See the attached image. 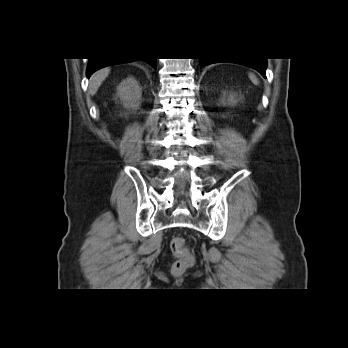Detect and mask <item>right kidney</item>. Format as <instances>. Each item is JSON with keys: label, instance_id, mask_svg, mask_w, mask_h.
<instances>
[{"label": "right kidney", "instance_id": "1", "mask_svg": "<svg viewBox=\"0 0 348 348\" xmlns=\"http://www.w3.org/2000/svg\"><path fill=\"white\" fill-rule=\"evenodd\" d=\"M142 88L132 76L124 79L117 87V96L127 109H138L141 104Z\"/></svg>", "mask_w": 348, "mask_h": 348}]
</instances>
